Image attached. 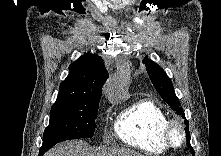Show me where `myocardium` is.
<instances>
[{
    "mask_svg": "<svg viewBox=\"0 0 221 156\" xmlns=\"http://www.w3.org/2000/svg\"><path fill=\"white\" fill-rule=\"evenodd\" d=\"M178 129L181 132V141L176 143L173 140V132ZM187 139V131L184 123L178 119H171L168 121L165 130H164V140L166 144L174 149L181 148Z\"/></svg>",
    "mask_w": 221,
    "mask_h": 156,
    "instance_id": "f54148a6",
    "label": "myocardium"
}]
</instances>
